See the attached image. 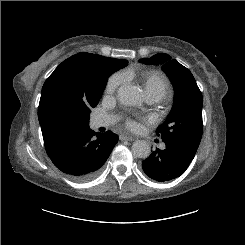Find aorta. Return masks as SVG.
<instances>
[{"label":"aorta","mask_w":245,"mask_h":245,"mask_svg":"<svg viewBox=\"0 0 245 245\" xmlns=\"http://www.w3.org/2000/svg\"><path fill=\"white\" fill-rule=\"evenodd\" d=\"M117 97L120 103L128 106H136L142 102V93L139 88L131 85H123L118 89ZM133 155L137 158H147L151 153V147L144 140H137L132 145Z\"/></svg>","instance_id":"obj_1"}]
</instances>
